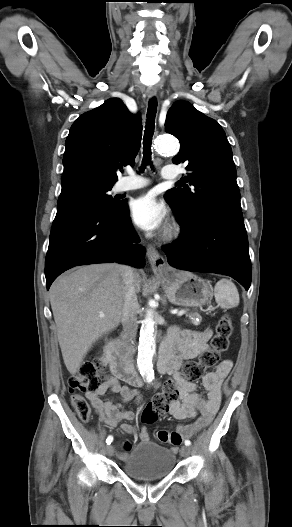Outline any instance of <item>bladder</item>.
I'll use <instances>...</instances> for the list:
<instances>
[{"label": "bladder", "instance_id": "bladder-1", "mask_svg": "<svg viewBox=\"0 0 292 527\" xmlns=\"http://www.w3.org/2000/svg\"><path fill=\"white\" fill-rule=\"evenodd\" d=\"M175 467V455L167 447L147 441L138 444L122 458L121 469L136 480H156L167 477Z\"/></svg>", "mask_w": 292, "mask_h": 527}]
</instances>
